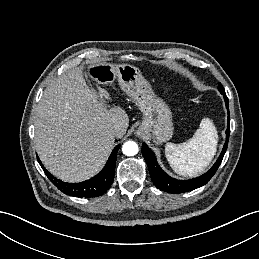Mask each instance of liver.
<instances>
[{
  "instance_id": "liver-1",
  "label": "liver",
  "mask_w": 259,
  "mask_h": 259,
  "mask_svg": "<svg viewBox=\"0 0 259 259\" xmlns=\"http://www.w3.org/2000/svg\"><path fill=\"white\" fill-rule=\"evenodd\" d=\"M106 90L90 88L80 68L70 70L44 91L35 109V145L44 166L57 178L80 182L105 163L115 137L121 138L129 118L121 107L107 109ZM119 126L118 135L111 133Z\"/></svg>"
}]
</instances>
